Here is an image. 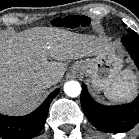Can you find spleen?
Listing matches in <instances>:
<instances>
[{
    "label": "spleen",
    "instance_id": "obj_1",
    "mask_svg": "<svg viewBox=\"0 0 139 139\" xmlns=\"http://www.w3.org/2000/svg\"><path fill=\"white\" fill-rule=\"evenodd\" d=\"M136 90L134 76L127 70L121 71L115 76L104 95L111 101L123 102L132 99Z\"/></svg>",
    "mask_w": 139,
    "mask_h": 139
}]
</instances>
